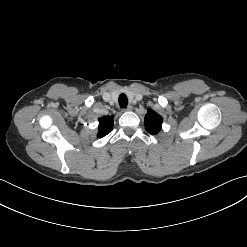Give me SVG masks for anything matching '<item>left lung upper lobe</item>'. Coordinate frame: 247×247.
Returning <instances> with one entry per match:
<instances>
[{"label":"left lung upper lobe","instance_id":"5c2ea615","mask_svg":"<svg viewBox=\"0 0 247 247\" xmlns=\"http://www.w3.org/2000/svg\"><path fill=\"white\" fill-rule=\"evenodd\" d=\"M144 120H145V129L148 133L153 135L159 133L163 122V118L159 114L149 109Z\"/></svg>","mask_w":247,"mask_h":247}]
</instances>
